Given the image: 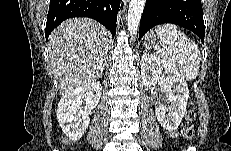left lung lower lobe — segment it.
<instances>
[{"label": "left lung lower lobe", "mask_w": 231, "mask_h": 151, "mask_svg": "<svg viewBox=\"0 0 231 151\" xmlns=\"http://www.w3.org/2000/svg\"><path fill=\"white\" fill-rule=\"evenodd\" d=\"M164 23L187 28L204 43L205 26L200 0H146L140 22L139 40L149 29Z\"/></svg>", "instance_id": "1"}]
</instances>
